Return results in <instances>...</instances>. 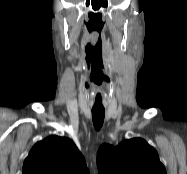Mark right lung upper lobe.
<instances>
[{"mask_svg":"<svg viewBox=\"0 0 187 174\" xmlns=\"http://www.w3.org/2000/svg\"><path fill=\"white\" fill-rule=\"evenodd\" d=\"M22 174H89L85 159L69 138L49 136L37 142L23 164Z\"/></svg>","mask_w":187,"mask_h":174,"instance_id":"cb5924a9","label":"right lung upper lobe"}]
</instances>
